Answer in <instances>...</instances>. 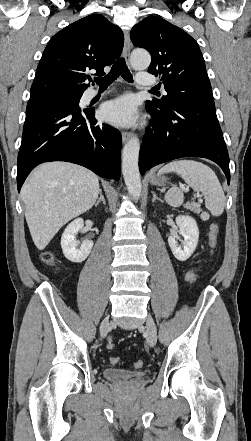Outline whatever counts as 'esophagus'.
Returning a JSON list of instances; mask_svg holds the SVG:
<instances>
[{
    "label": "esophagus",
    "instance_id": "obj_1",
    "mask_svg": "<svg viewBox=\"0 0 251 441\" xmlns=\"http://www.w3.org/2000/svg\"><path fill=\"white\" fill-rule=\"evenodd\" d=\"M130 51H131V41H130L129 33L126 32L125 42H124V57H125L126 62H129ZM121 135H122V141L124 143L127 142L132 136V134L130 132H126V131H123L121 133Z\"/></svg>",
    "mask_w": 251,
    "mask_h": 441
}]
</instances>
